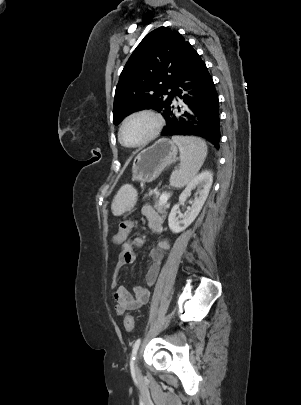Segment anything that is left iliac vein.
<instances>
[{
	"mask_svg": "<svg viewBox=\"0 0 301 405\" xmlns=\"http://www.w3.org/2000/svg\"><path fill=\"white\" fill-rule=\"evenodd\" d=\"M136 367H137V361H136ZM137 371L139 372L138 367H137Z\"/></svg>",
	"mask_w": 301,
	"mask_h": 405,
	"instance_id": "4c4485c4",
	"label": "left iliac vein"
}]
</instances>
